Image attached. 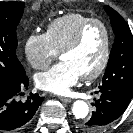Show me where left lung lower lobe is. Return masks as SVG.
Masks as SVG:
<instances>
[{
	"label": "left lung lower lobe",
	"mask_w": 133,
	"mask_h": 133,
	"mask_svg": "<svg viewBox=\"0 0 133 133\" xmlns=\"http://www.w3.org/2000/svg\"><path fill=\"white\" fill-rule=\"evenodd\" d=\"M100 98L92 104L96 107L90 119L81 129L86 133H100L117 120L126 110L131 98L115 91L100 90Z\"/></svg>",
	"instance_id": "left-lung-lower-lobe-1"
}]
</instances>
